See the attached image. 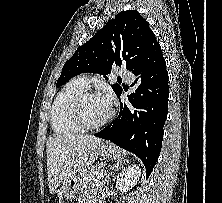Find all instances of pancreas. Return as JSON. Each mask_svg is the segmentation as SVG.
Returning <instances> with one entry per match:
<instances>
[{"instance_id": "obj_1", "label": "pancreas", "mask_w": 222, "mask_h": 203, "mask_svg": "<svg viewBox=\"0 0 222 203\" xmlns=\"http://www.w3.org/2000/svg\"><path fill=\"white\" fill-rule=\"evenodd\" d=\"M102 165L97 164L89 168L88 171L85 172L83 178L81 179V184L90 185L92 182L98 183L99 180L103 176V171L101 170Z\"/></svg>"}]
</instances>
